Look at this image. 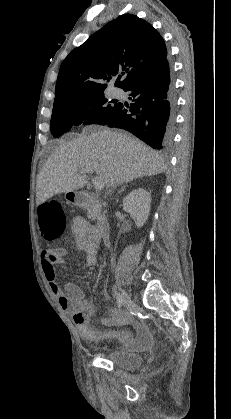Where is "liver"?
Instances as JSON below:
<instances>
[{
    "label": "liver",
    "mask_w": 231,
    "mask_h": 419,
    "mask_svg": "<svg viewBox=\"0 0 231 419\" xmlns=\"http://www.w3.org/2000/svg\"><path fill=\"white\" fill-rule=\"evenodd\" d=\"M94 170L107 188L165 171L163 157L131 135L101 129L61 144L38 174L36 203L73 192L87 183L82 170Z\"/></svg>",
    "instance_id": "liver-1"
}]
</instances>
